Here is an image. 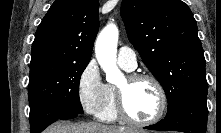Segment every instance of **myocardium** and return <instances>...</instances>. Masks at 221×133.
<instances>
[{
	"label": "myocardium",
	"mask_w": 221,
	"mask_h": 133,
	"mask_svg": "<svg viewBox=\"0 0 221 133\" xmlns=\"http://www.w3.org/2000/svg\"><path fill=\"white\" fill-rule=\"evenodd\" d=\"M141 80H148L152 82L158 91L160 104H159V109L157 113L154 115V117L142 121V120H137L130 115L126 106L125 87H120V86L116 87V108L119 118L124 122L138 127H146V126H151L162 119V117L166 112L168 101L164 86L162 85L160 80L155 76L147 73H133L125 78L126 85H131Z\"/></svg>",
	"instance_id": "f54148a6"
}]
</instances>
